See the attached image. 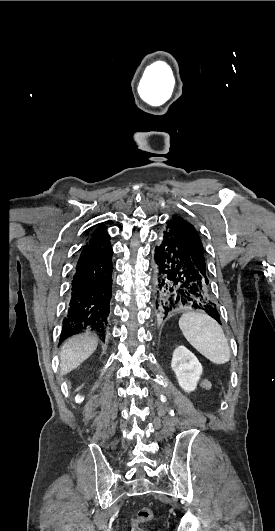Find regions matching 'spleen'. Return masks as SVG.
Returning a JSON list of instances; mask_svg holds the SVG:
<instances>
[{"instance_id": "3e777b00", "label": "spleen", "mask_w": 275, "mask_h": 531, "mask_svg": "<svg viewBox=\"0 0 275 531\" xmlns=\"http://www.w3.org/2000/svg\"><path fill=\"white\" fill-rule=\"evenodd\" d=\"M179 327L188 343L211 363H228L230 347L221 325L215 319L206 313L187 311L181 315Z\"/></svg>"}]
</instances>
